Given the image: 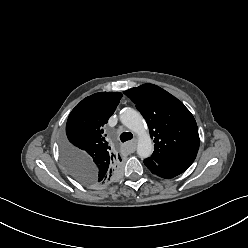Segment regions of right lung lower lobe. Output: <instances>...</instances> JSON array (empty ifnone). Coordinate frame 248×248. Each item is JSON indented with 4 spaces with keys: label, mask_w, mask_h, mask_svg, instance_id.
I'll return each mask as SVG.
<instances>
[{
    "label": "right lung lower lobe",
    "mask_w": 248,
    "mask_h": 248,
    "mask_svg": "<svg viewBox=\"0 0 248 248\" xmlns=\"http://www.w3.org/2000/svg\"><path fill=\"white\" fill-rule=\"evenodd\" d=\"M65 160H66V163L69 165V166H74V164H76V163H74L73 161H72V159L70 158V157H65ZM64 162V161H63ZM92 178H91V176L90 175H88V176H86L85 178H84V183L83 184H86V185H92Z\"/></svg>",
    "instance_id": "98d812e1"
}]
</instances>
